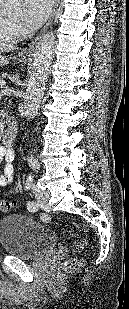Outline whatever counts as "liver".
<instances>
[{"mask_svg":"<svg viewBox=\"0 0 129 309\" xmlns=\"http://www.w3.org/2000/svg\"><path fill=\"white\" fill-rule=\"evenodd\" d=\"M15 49V47L11 44L0 43V53L11 52Z\"/></svg>","mask_w":129,"mask_h":309,"instance_id":"1","label":"liver"}]
</instances>
